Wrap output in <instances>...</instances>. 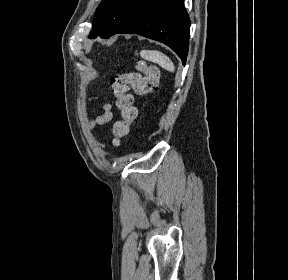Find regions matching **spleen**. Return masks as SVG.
<instances>
[{
    "label": "spleen",
    "mask_w": 288,
    "mask_h": 280,
    "mask_svg": "<svg viewBox=\"0 0 288 280\" xmlns=\"http://www.w3.org/2000/svg\"><path fill=\"white\" fill-rule=\"evenodd\" d=\"M140 56L147 61L157 63L167 71H175V66L171 59L158 50H142L140 51Z\"/></svg>",
    "instance_id": "1"
}]
</instances>
